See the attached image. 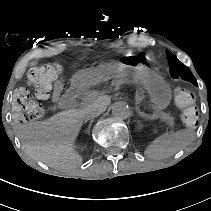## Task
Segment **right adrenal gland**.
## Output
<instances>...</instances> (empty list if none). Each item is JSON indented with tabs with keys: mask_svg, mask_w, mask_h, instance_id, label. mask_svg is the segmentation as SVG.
<instances>
[{
	"mask_svg": "<svg viewBox=\"0 0 211 211\" xmlns=\"http://www.w3.org/2000/svg\"><path fill=\"white\" fill-rule=\"evenodd\" d=\"M93 122H94V120L92 119V120L90 121L89 125H88V130H90V127H91V125H92Z\"/></svg>",
	"mask_w": 211,
	"mask_h": 211,
	"instance_id": "right-adrenal-gland-1",
	"label": "right adrenal gland"
}]
</instances>
